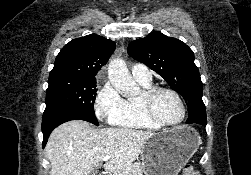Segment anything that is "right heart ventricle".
<instances>
[{"instance_id": "right-heart-ventricle-1", "label": "right heart ventricle", "mask_w": 251, "mask_h": 175, "mask_svg": "<svg viewBox=\"0 0 251 175\" xmlns=\"http://www.w3.org/2000/svg\"><path fill=\"white\" fill-rule=\"evenodd\" d=\"M144 89L152 87L151 84L139 83ZM139 99H129L125 101V111L117 125L127 128H138L143 130H158L159 127L152 123L141 111L138 103Z\"/></svg>"}]
</instances>
